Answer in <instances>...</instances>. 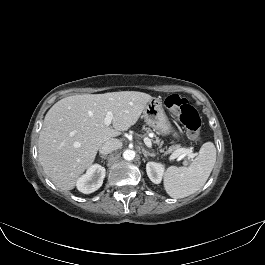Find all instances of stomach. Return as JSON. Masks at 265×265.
I'll list each match as a JSON object with an SVG mask.
<instances>
[{
	"label": "stomach",
	"mask_w": 265,
	"mask_h": 265,
	"mask_svg": "<svg viewBox=\"0 0 265 265\" xmlns=\"http://www.w3.org/2000/svg\"><path fill=\"white\" fill-rule=\"evenodd\" d=\"M143 117L148 126L157 134L167 135L171 132V123L162 107L160 99L152 98L143 110Z\"/></svg>",
	"instance_id": "obj_1"
}]
</instances>
